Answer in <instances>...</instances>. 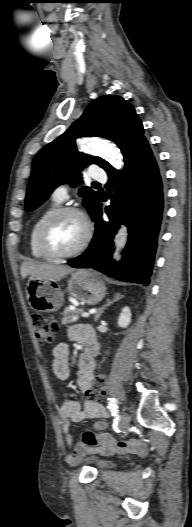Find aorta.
I'll list each match as a JSON object with an SVG mask.
<instances>
[{"label":"aorta","instance_id":"1","mask_svg":"<svg viewBox=\"0 0 192 527\" xmlns=\"http://www.w3.org/2000/svg\"><path fill=\"white\" fill-rule=\"evenodd\" d=\"M85 149L89 153L98 154L104 157L117 169L122 167V156L119 149L107 141L100 139H90L86 142Z\"/></svg>","mask_w":192,"mask_h":527}]
</instances>
